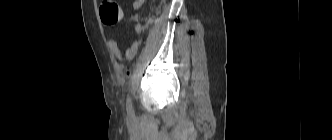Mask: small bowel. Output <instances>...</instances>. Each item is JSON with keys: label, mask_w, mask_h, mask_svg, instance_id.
Segmentation results:
<instances>
[{"label": "small bowel", "mask_w": 332, "mask_h": 140, "mask_svg": "<svg viewBox=\"0 0 332 140\" xmlns=\"http://www.w3.org/2000/svg\"><path fill=\"white\" fill-rule=\"evenodd\" d=\"M146 0H132V6L134 9L138 10L140 9ZM138 42L134 41L132 42L125 50L124 55L122 54L119 44L117 42V40L115 39H111L108 41V47L111 51V53L114 55V57L118 60V61H122L123 58L125 57L127 60H132L137 51H138Z\"/></svg>", "instance_id": "c3829d8e"}]
</instances>
